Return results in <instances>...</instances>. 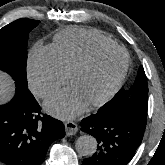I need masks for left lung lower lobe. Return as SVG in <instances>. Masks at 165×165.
<instances>
[{"instance_id":"obj_1","label":"left lung lower lobe","mask_w":165,"mask_h":165,"mask_svg":"<svg viewBox=\"0 0 165 165\" xmlns=\"http://www.w3.org/2000/svg\"><path fill=\"white\" fill-rule=\"evenodd\" d=\"M147 117L93 114L81 122V130L94 136L97 152L82 165H126L141 144Z\"/></svg>"}]
</instances>
